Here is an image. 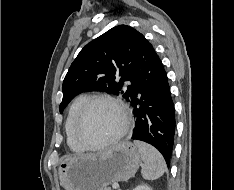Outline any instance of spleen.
I'll return each mask as SVG.
<instances>
[{
    "instance_id": "obj_1",
    "label": "spleen",
    "mask_w": 234,
    "mask_h": 190,
    "mask_svg": "<svg viewBox=\"0 0 234 190\" xmlns=\"http://www.w3.org/2000/svg\"><path fill=\"white\" fill-rule=\"evenodd\" d=\"M134 144L140 151L144 166L141 174L146 180H156L160 178L165 170L166 163L160 152L151 145L135 140Z\"/></svg>"
}]
</instances>
